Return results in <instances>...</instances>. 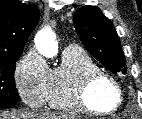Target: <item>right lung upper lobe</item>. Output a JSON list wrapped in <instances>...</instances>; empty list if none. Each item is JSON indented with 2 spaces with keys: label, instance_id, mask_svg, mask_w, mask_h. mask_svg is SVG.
<instances>
[{
  "label": "right lung upper lobe",
  "instance_id": "cb5924a9",
  "mask_svg": "<svg viewBox=\"0 0 142 119\" xmlns=\"http://www.w3.org/2000/svg\"><path fill=\"white\" fill-rule=\"evenodd\" d=\"M38 19L36 5L0 0V56L22 53Z\"/></svg>",
  "mask_w": 142,
  "mask_h": 119
}]
</instances>
